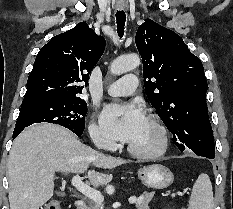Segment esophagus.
Wrapping results in <instances>:
<instances>
[{
  "instance_id": "1",
  "label": "esophagus",
  "mask_w": 233,
  "mask_h": 209,
  "mask_svg": "<svg viewBox=\"0 0 233 209\" xmlns=\"http://www.w3.org/2000/svg\"><path fill=\"white\" fill-rule=\"evenodd\" d=\"M118 8H119V9H123V8H124V5H118Z\"/></svg>"
}]
</instances>
